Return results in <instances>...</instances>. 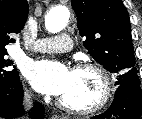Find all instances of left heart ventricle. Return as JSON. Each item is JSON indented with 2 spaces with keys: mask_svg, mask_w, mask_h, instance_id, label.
<instances>
[{
  "mask_svg": "<svg viewBox=\"0 0 142 119\" xmlns=\"http://www.w3.org/2000/svg\"><path fill=\"white\" fill-rule=\"evenodd\" d=\"M101 92L99 78L92 71H72L71 80L61 99L77 107H89Z\"/></svg>",
  "mask_w": 142,
  "mask_h": 119,
  "instance_id": "left-heart-ventricle-1",
  "label": "left heart ventricle"
}]
</instances>
